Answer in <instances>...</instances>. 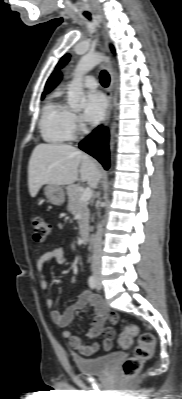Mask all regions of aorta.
I'll list each match as a JSON object with an SVG mask.
<instances>
[{
    "mask_svg": "<svg viewBox=\"0 0 182 399\" xmlns=\"http://www.w3.org/2000/svg\"><path fill=\"white\" fill-rule=\"evenodd\" d=\"M108 57L101 53L87 54L81 57L73 74V79L68 89V104L72 109L79 110L83 107L85 102V95L83 92V76L92 70L96 65L101 62H108ZM113 129L111 130V135ZM113 142L110 143V149L112 150Z\"/></svg>",
    "mask_w": 182,
    "mask_h": 399,
    "instance_id": "aorta-1",
    "label": "aorta"
}]
</instances>
